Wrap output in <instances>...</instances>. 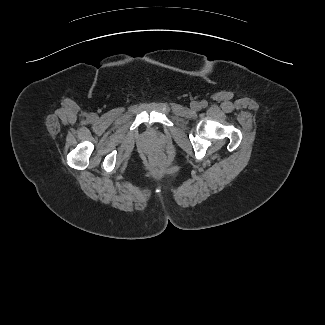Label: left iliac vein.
Segmentation results:
<instances>
[{"instance_id": "1", "label": "left iliac vein", "mask_w": 325, "mask_h": 325, "mask_svg": "<svg viewBox=\"0 0 325 325\" xmlns=\"http://www.w3.org/2000/svg\"><path fill=\"white\" fill-rule=\"evenodd\" d=\"M199 108V105L197 103L192 104V109L197 110Z\"/></svg>"}]
</instances>
